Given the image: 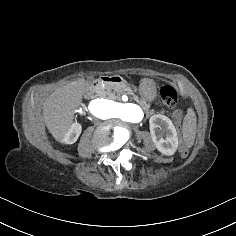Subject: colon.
Segmentation results:
<instances>
[{
	"instance_id": "1",
	"label": "colon",
	"mask_w": 236,
	"mask_h": 236,
	"mask_svg": "<svg viewBox=\"0 0 236 236\" xmlns=\"http://www.w3.org/2000/svg\"><path fill=\"white\" fill-rule=\"evenodd\" d=\"M160 95L164 104L169 108H174L178 102V94L176 89L171 85H163L160 89ZM182 114L175 111L172 116L173 123L179 127L181 123Z\"/></svg>"
}]
</instances>
